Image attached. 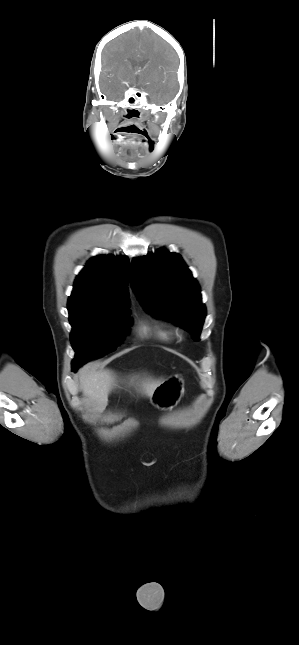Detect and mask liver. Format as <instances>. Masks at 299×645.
I'll list each match as a JSON object with an SVG mask.
<instances>
[{"mask_svg":"<svg viewBox=\"0 0 299 645\" xmlns=\"http://www.w3.org/2000/svg\"><path fill=\"white\" fill-rule=\"evenodd\" d=\"M134 381L135 379L132 378L131 384H134ZM80 383L87 404L92 406L95 412L102 413L107 406L109 393L117 386V379L112 371L106 369L96 371L89 364L81 370ZM136 384L143 394L151 397L156 387L161 384V381L146 378L139 380Z\"/></svg>","mask_w":299,"mask_h":645,"instance_id":"liver-1","label":"liver"}]
</instances>
